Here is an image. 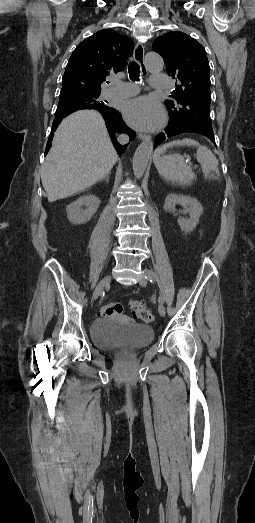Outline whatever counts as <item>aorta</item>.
I'll list each match as a JSON object with an SVG mask.
<instances>
[{"label": "aorta", "mask_w": 255, "mask_h": 523, "mask_svg": "<svg viewBox=\"0 0 255 523\" xmlns=\"http://www.w3.org/2000/svg\"><path fill=\"white\" fill-rule=\"evenodd\" d=\"M145 65L150 72H159L164 67V61L157 53L150 52L145 56ZM152 151L153 142L151 139L145 140L136 149L132 161L133 172L136 178L140 179L143 176Z\"/></svg>", "instance_id": "aorta-1"}]
</instances>
